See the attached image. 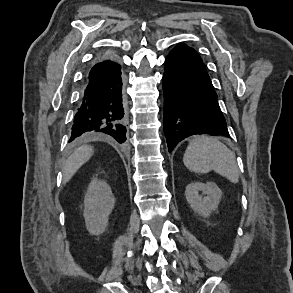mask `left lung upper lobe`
Listing matches in <instances>:
<instances>
[{
	"instance_id": "1",
	"label": "left lung upper lobe",
	"mask_w": 293,
	"mask_h": 293,
	"mask_svg": "<svg viewBox=\"0 0 293 293\" xmlns=\"http://www.w3.org/2000/svg\"><path fill=\"white\" fill-rule=\"evenodd\" d=\"M193 51L195 52V54H196V56L198 57V59L202 62V60H201V58H200V56L198 55V53L193 49ZM202 64H203V62H202ZM204 65V64H203Z\"/></svg>"
}]
</instances>
